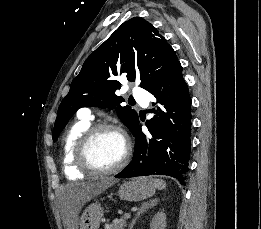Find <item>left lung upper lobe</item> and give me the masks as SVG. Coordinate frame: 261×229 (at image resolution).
<instances>
[{"label": "left lung upper lobe", "instance_id": "left-lung-upper-lobe-1", "mask_svg": "<svg viewBox=\"0 0 261 229\" xmlns=\"http://www.w3.org/2000/svg\"><path fill=\"white\" fill-rule=\"evenodd\" d=\"M179 63L175 51L152 24L141 17L124 22L84 62L62 100L53 130L55 142L69 119L81 107L115 108L121 121L133 132L137 113L115 91L121 84L116 76L129 81L140 79V87L148 90L166 72Z\"/></svg>", "mask_w": 261, "mask_h": 229}]
</instances>
